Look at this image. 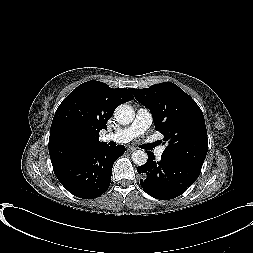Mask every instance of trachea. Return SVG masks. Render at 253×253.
I'll list each match as a JSON object with an SVG mask.
<instances>
[{
    "label": "trachea",
    "instance_id": "trachea-1",
    "mask_svg": "<svg viewBox=\"0 0 253 253\" xmlns=\"http://www.w3.org/2000/svg\"><path fill=\"white\" fill-rule=\"evenodd\" d=\"M156 145H158V142H155V143H153V144H150L149 146H150L151 148H153V147H155Z\"/></svg>",
    "mask_w": 253,
    "mask_h": 253
}]
</instances>
